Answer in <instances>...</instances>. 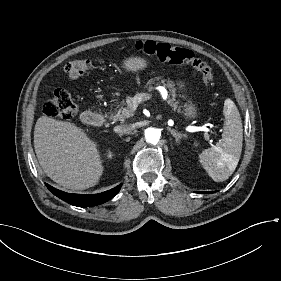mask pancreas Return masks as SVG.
<instances>
[{
  "instance_id": "obj_1",
  "label": "pancreas",
  "mask_w": 281,
  "mask_h": 281,
  "mask_svg": "<svg viewBox=\"0 0 281 281\" xmlns=\"http://www.w3.org/2000/svg\"><path fill=\"white\" fill-rule=\"evenodd\" d=\"M160 83L164 87L169 88L170 93L172 95V98L168 99V104H170V106H172L174 109L177 108V102H174L175 101V95H176L175 94L176 89L173 88V85L169 81L167 83H165L164 79H162ZM124 105H125V101H122L121 107H119L117 113L110 115L109 118L113 121H123V117L125 116V111H124L125 108L123 107Z\"/></svg>"
}]
</instances>
